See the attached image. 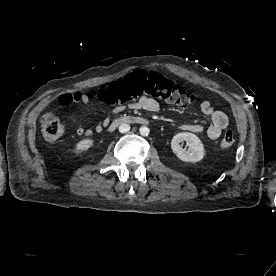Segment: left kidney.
<instances>
[{"mask_svg": "<svg viewBox=\"0 0 276 276\" xmlns=\"http://www.w3.org/2000/svg\"><path fill=\"white\" fill-rule=\"evenodd\" d=\"M185 141L188 149H183L181 143ZM174 154L184 162H199L203 159L205 150L202 141L193 133L181 132L176 134L171 141Z\"/></svg>", "mask_w": 276, "mask_h": 276, "instance_id": "1", "label": "left kidney"}]
</instances>
